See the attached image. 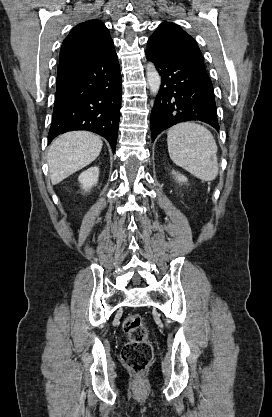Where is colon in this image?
Masks as SVG:
<instances>
[{
	"label": "colon",
	"mask_w": 272,
	"mask_h": 417,
	"mask_svg": "<svg viewBox=\"0 0 272 417\" xmlns=\"http://www.w3.org/2000/svg\"><path fill=\"white\" fill-rule=\"evenodd\" d=\"M123 330L128 340L122 349V360L133 373L141 374L153 357V349L142 317L138 314L127 316L123 322Z\"/></svg>",
	"instance_id": "colon-1"
}]
</instances>
